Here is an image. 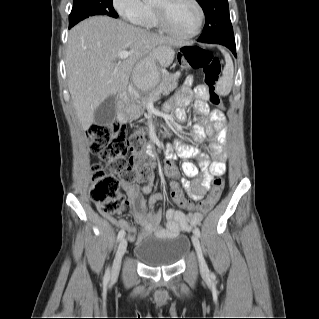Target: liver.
<instances>
[{
	"instance_id": "1",
	"label": "liver",
	"mask_w": 319,
	"mask_h": 319,
	"mask_svg": "<svg viewBox=\"0 0 319 319\" xmlns=\"http://www.w3.org/2000/svg\"><path fill=\"white\" fill-rule=\"evenodd\" d=\"M179 43L169 37L95 16L73 27L66 47V71L73 107L83 130L94 122L95 109L108 97L127 89L135 66L159 45ZM131 53L117 62L121 51Z\"/></svg>"
}]
</instances>
